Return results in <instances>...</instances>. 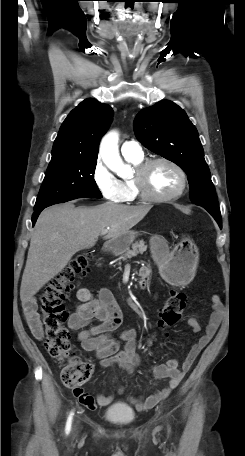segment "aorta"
I'll list each match as a JSON object with an SVG mask.
<instances>
[{"label":"aorta","instance_id":"aorta-1","mask_svg":"<svg viewBox=\"0 0 245 456\" xmlns=\"http://www.w3.org/2000/svg\"><path fill=\"white\" fill-rule=\"evenodd\" d=\"M118 133H107L100 144V155L105 165L119 176H125L128 166L122 161L118 151Z\"/></svg>","mask_w":245,"mask_h":456}]
</instances>
